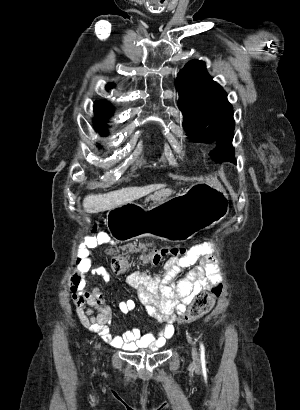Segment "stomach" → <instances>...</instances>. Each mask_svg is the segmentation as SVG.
Returning a JSON list of instances; mask_svg holds the SVG:
<instances>
[{
	"mask_svg": "<svg viewBox=\"0 0 300 410\" xmlns=\"http://www.w3.org/2000/svg\"><path fill=\"white\" fill-rule=\"evenodd\" d=\"M159 198L161 192L150 195L147 201L155 202L148 209L130 202L109 210L106 223L110 234L119 241L152 236L183 242L219 223L228 213L227 195L208 184L193 185L167 201Z\"/></svg>",
	"mask_w": 300,
	"mask_h": 410,
	"instance_id": "obj_1",
	"label": "stomach"
}]
</instances>
